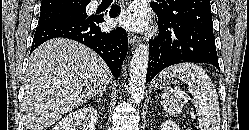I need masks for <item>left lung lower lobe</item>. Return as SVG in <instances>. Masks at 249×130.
<instances>
[{"label":"left lung lower lobe","mask_w":249,"mask_h":130,"mask_svg":"<svg viewBox=\"0 0 249 130\" xmlns=\"http://www.w3.org/2000/svg\"><path fill=\"white\" fill-rule=\"evenodd\" d=\"M159 20L160 33L149 41L146 83L164 68L183 62L207 63L219 70L213 29L175 19Z\"/></svg>","instance_id":"left-lung-lower-lobe-1"}]
</instances>
